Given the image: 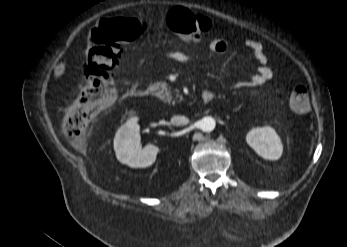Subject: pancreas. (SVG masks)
Masks as SVG:
<instances>
[{"label":"pancreas","mask_w":347,"mask_h":247,"mask_svg":"<svg viewBox=\"0 0 347 247\" xmlns=\"http://www.w3.org/2000/svg\"><path fill=\"white\" fill-rule=\"evenodd\" d=\"M152 89L155 91V95L161 100L171 103L172 94L168 89V86L165 82H156L152 85Z\"/></svg>","instance_id":"obj_1"}]
</instances>
